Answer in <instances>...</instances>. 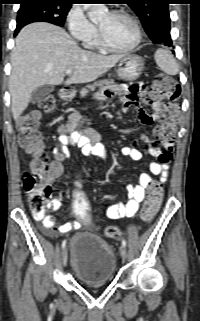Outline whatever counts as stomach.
Listing matches in <instances>:
<instances>
[{
  "label": "stomach",
  "mask_w": 200,
  "mask_h": 321,
  "mask_svg": "<svg viewBox=\"0 0 200 321\" xmlns=\"http://www.w3.org/2000/svg\"><path fill=\"white\" fill-rule=\"evenodd\" d=\"M144 59L138 55H126L118 64L117 75L127 81L136 80L142 73Z\"/></svg>",
  "instance_id": "stomach-1"
}]
</instances>
